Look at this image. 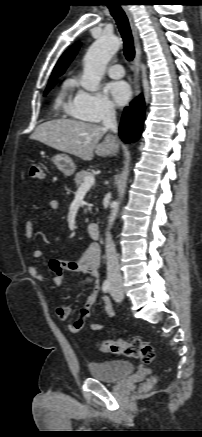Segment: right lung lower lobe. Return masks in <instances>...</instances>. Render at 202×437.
<instances>
[{
  "instance_id": "obj_1",
  "label": "right lung lower lobe",
  "mask_w": 202,
  "mask_h": 437,
  "mask_svg": "<svg viewBox=\"0 0 202 437\" xmlns=\"http://www.w3.org/2000/svg\"><path fill=\"white\" fill-rule=\"evenodd\" d=\"M145 113V103L142 96L133 100L129 107H125L119 132L125 142L136 141L141 134Z\"/></svg>"
}]
</instances>
